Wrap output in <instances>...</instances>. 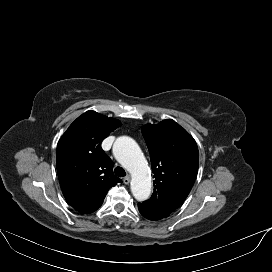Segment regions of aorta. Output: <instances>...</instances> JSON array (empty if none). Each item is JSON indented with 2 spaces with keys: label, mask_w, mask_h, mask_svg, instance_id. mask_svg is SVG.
Instances as JSON below:
<instances>
[{
  "label": "aorta",
  "mask_w": 272,
  "mask_h": 272,
  "mask_svg": "<svg viewBox=\"0 0 272 272\" xmlns=\"http://www.w3.org/2000/svg\"><path fill=\"white\" fill-rule=\"evenodd\" d=\"M113 154L132 175L131 192L135 199H148L151 193V179L146 159L135 140L128 136L117 138L113 144Z\"/></svg>",
  "instance_id": "aorta-1"
}]
</instances>
